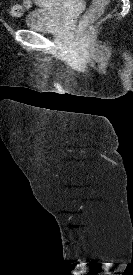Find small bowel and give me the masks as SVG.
Here are the masks:
<instances>
[{
    "instance_id": "obj_1",
    "label": "small bowel",
    "mask_w": 133,
    "mask_h": 275,
    "mask_svg": "<svg viewBox=\"0 0 133 275\" xmlns=\"http://www.w3.org/2000/svg\"><path fill=\"white\" fill-rule=\"evenodd\" d=\"M23 2L27 3L28 8L31 6V0H23Z\"/></svg>"
}]
</instances>
